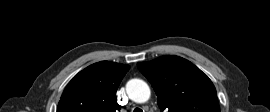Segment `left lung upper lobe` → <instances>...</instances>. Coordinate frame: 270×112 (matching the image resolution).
Instances as JSON below:
<instances>
[{"label": "left lung upper lobe", "instance_id": "5c2ea615", "mask_svg": "<svg viewBox=\"0 0 270 112\" xmlns=\"http://www.w3.org/2000/svg\"><path fill=\"white\" fill-rule=\"evenodd\" d=\"M137 66L155 90L162 111L220 112L213 83L190 61L166 55Z\"/></svg>", "mask_w": 270, "mask_h": 112}]
</instances>
